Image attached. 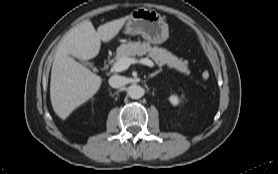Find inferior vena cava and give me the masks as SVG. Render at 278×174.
<instances>
[{
    "label": "inferior vena cava",
    "instance_id": "602c4592",
    "mask_svg": "<svg viewBox=\"0 0 278 174\" xmlns=\"http://www.w3.org/2000/svg\"><path fill=\"white\" fill-rule=\"evenodd\" d=\"M109 84L113 88H120L126 84V78L119 75L110 77Z\"/></svg>",
    "mask_w": 278,
    "mask_h": 174
}]
</instances>
